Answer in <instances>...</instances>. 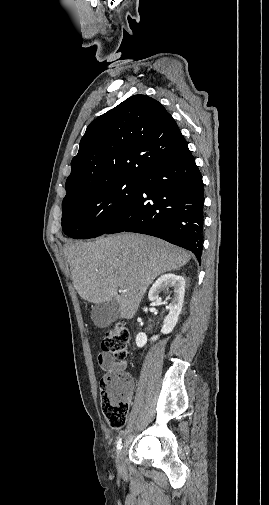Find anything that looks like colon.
I'll list each match as a JSON object with an SVG mask.
<instances>
[{"label":"colon","mask_w":269,"mask_h":505,"mask_svg":"<svg viewBox=\"0 0 269 505\" xmlns=\"http://www.w3.org/2000/svg\"><path fill=\"white\" fill-rule=\"evenodd\" d=\"M130 333L118 324L110 329L102 341L103 351L115 359H123L128 352ZM131 379L125 373L106 375L100 381V402L109 426L120 429L129 413Z\"/></svg>","instance_id":"5ec220e1"}]
</instances>
